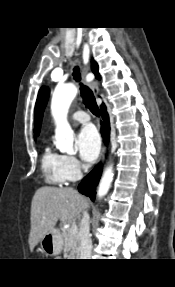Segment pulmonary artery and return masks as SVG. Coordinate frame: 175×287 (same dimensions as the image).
<instances>
[{
    "instance_id": "obj_1",
    "label": "pulmonary artery",
    "mask_w": 175,
    "mask_h": 287,
    "mask_svg": "<svg viewBox=\"0 0 175 287\" xmlns=\"http://www.w3.org/2000/svg\"><path fill=\"white\" fill-rule=\"evenodd\" d=\"M72 120L78 123L86 124L89 122L90 117L89 115L84 111H77L72 114L71 116Z\"/></svg>"
}]
</instances>
